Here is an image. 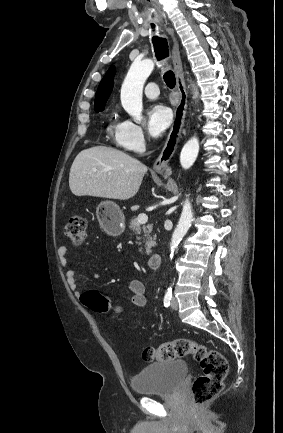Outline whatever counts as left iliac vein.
<instances>
[{
    "instance_id": "obj_1",
    "label": "left iliac vein",
    "mask_w": 283,
    "mask_h": 433,
    "mask_svg": "<svg viewBox=\"0 0 283 433\" xmlns=\"http://www.w3.org/2000/svg\"><path fill=\"white\" fill-rule=\"evenodd\" d=\"M171 307H172V309H174V310H177V309H178V301H177V299H176L175 297L172 298Z\"/></svg>"
}]
</instances>
